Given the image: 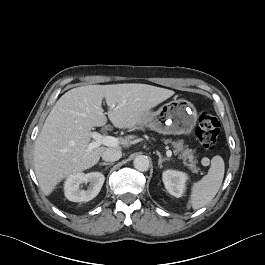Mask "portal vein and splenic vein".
Listing matches in <instances>:
<instances>
[{
    "mask_svg": "<svg viewBox=\"0 0 265 265\" xmlns=\"http://www.w3.org/2000/svg\"><path fill=\"white\" fill-rule=\"evenodd\" d=\"M114 107V106H113ZM91 138H93L94 141H92L91 143H89L87 151L90 152L93 149L101 146V145H105V146H109V147H117L119 145V140L118 138H115L113 136H109V135H102L98 132H91L90 133ZM166 155L168 157L172 156V151L171 150H167L166 151Z\"/></svg>",
    "mask_w": 265,
    "mask_h": 265,
    "instance_id": "1",
    "label": "portal vein and splenic vein"
}]
</instances>
